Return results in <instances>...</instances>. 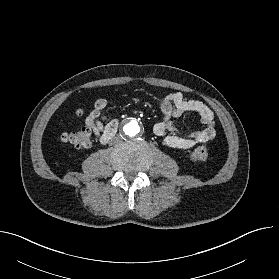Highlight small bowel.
Masks as SVG:
<instances>
[{"mask_svg": "<svg viewBox=\"0 0 279 279\" xmlns=\"http://www.w3.org/2000/svg\"><path fill=\"white\" fill-rule=\"evenodd\" d=\"M108 102L104 98L97 99L93 110L85 119V125L92 130L101 142V138L108 125H105ZM163 114L162 121L154 126V133L160 137L165 146L173 149H190L198 144L211 141L215 135L214 114L203 102L188 99L180 91L164 96L160 103ZM186 112H195L200 116L204 128L189 135H181L172 124V119L180 117Z\"/></svg>", "mask_w": 279, "mask_h": 279, "instance_id": "obj_1", "label": "small bowel"}]
</instances>
